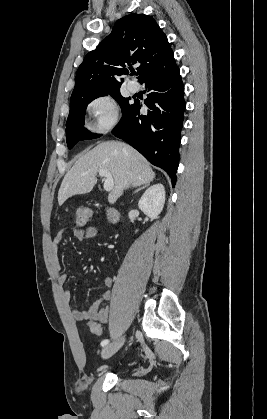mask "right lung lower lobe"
Wrapping results in <instances>:
<instances>
[{
    "label": "right lung lower lobe",
    "mask_w": 267,
    "mask_h": 419,
    "mask_svg": "<svg viewBox=\"0 0 267 419\" xmlns=\"http://www.w3.org/2000/svg\"><path fill=\"white\" fill-rule=\"evenodd\" d=\"M148 114L141 115L135 100L112 133L138 150L150 163L164 169L176 183L183 127L184 85L175 61L145 76Z\"/></svg>",
    "instance_id": "98d812e1"
}]
</instances>
